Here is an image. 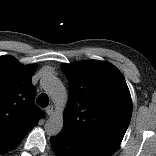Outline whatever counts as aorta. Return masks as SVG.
Returning a JSON list of instances; mask_svg holds the SVG:
<instances>
[{"label": "aorta", "instance_id": "aorta-1", "mask_svg": "<svg viewBox=\"0 0 156 156\" xmlns=\"http://www.w3.org/2000/svg\"><path fill=\"white\" fill-rule=\"evenodd\" d=\"M41 86L56 105V111L45 123V132L49 136H56L63 128V110L67 103L68 95L64 85L52 75L43 77L41 79Z\"/></svg>", "mask_w": 156, "mask_h": 156}]
</instances>
